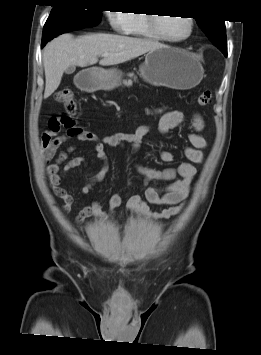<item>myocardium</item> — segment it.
<instances>
[{"label":"myocardium","mask_w":261,"mask_h":355,"mask_svg":"<svg viewBox=\"0 0 261 355\" xmlns=\"http://www.w3.org/2000/svg\"><path fill=\"white\" fill-rule=\"evenodd\" d=\"M155 15H157V14L148 13V24H149V28H150L151 32L156 36L157 39H160V40L166 41V42H170V43H180V42H183V41L189 39L192 36V34L194 32V28H195V21H194L193 17H191V16L185 17L189 23L188 33L181 38L173 39V38L163 35V33L161 32V30L159 28V18L157 17L158 15L157 16H155Z\"/></svg>","instance_id":"f54148a6"}]
</instances>
